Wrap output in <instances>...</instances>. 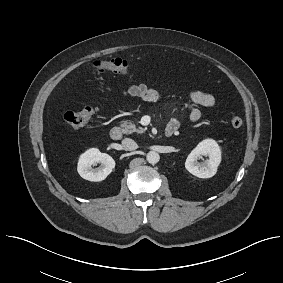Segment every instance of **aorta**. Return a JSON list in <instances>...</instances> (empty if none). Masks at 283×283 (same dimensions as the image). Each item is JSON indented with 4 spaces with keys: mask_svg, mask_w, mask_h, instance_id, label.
Segmentation results:
<instances>
[{
    "mask_svg": "<svg viewBox=\"0 0 283 283\" xmlns=\"http://www.w3.org/2000/svg\"><path fill=\"white\" fill-rule=\"evenodd\" d=\"M146 159H147L148 163L156 164V163L159 162L160 156L157 152L150 151V152L147 153Z\"/></svg>",
    "mask_w": 283,
    "mask_h": 283,
    "instance_id": "obj_1",
    "label": "aorta"
}]
</instances>
